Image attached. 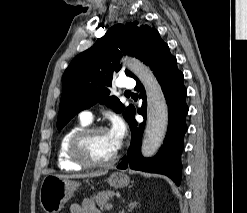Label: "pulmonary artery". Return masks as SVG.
I'll use <instances>...</instances> for the list:
<instances>
[{
    "label": "pulmonary artery",
    "instance_id": "pulmonary-artery-1",
    "mask_svg": "<svg viewBox=\"0 0 247 213\" xmlns=\"http://www.w3.org/2000/svg\"><path fill=\"white\" fill-rule=\"evenodd\" d=\"M120 81H121V88L123 90L129 91L133 89L135 86L134 80L130 77H121ZM80 119L87 122H91L93 120V114L88 110L82 111L80 113Z\"/></svg>",
    "mask_w": 247,
    "mask_h": 213
}]
</instances>
